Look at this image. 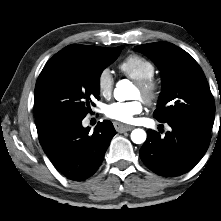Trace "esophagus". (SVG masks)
<instances>
[{
    "label": "esophagus",
    "mask_w": 221,
    "mask_h": 221,
    "mask_svg": "<svg viewBox=\"0 0 221 221\" xmlns=\"http://www.w3.org/2000/svg\"><path fill=\"white\" fill-rule=\"evenodd\" d=\"M114 127L116 129L117 132L123 133L126 131H131L132 129H134L133 126L130 125H124L118 122H114Z\"/></svg>",
    "instance_id": "esophagus-1"
}]
</instances>
